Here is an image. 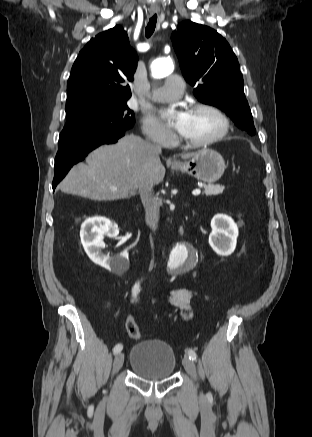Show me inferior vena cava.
Listing matches in <instances>:
<instances>
[{
  "label": "inferior vena cava",
  "instance_id": "obj_1",
  "mask_svg": "<svg viewBox=\"0 0 312 437\" xmlns=\"http://www.w3.org/2000/svg\"><path fill=\"white\" fill-rule=\"evenodd\" d=\"M155 150L158 152H161V147L158 145H155ZM139 193L143 202V205L146 209V222L149 225V227L155 231L158 227V221H159V205H150L148 199L150 196V191L145 190L144 188H139Z\"/></svg>",
  "mask_w": 312,
  "mask_h": 437
}]
</instances>
